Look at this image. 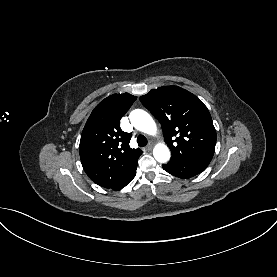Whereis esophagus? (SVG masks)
Wrapping results in <instances>:
<instances>
[{
	"label": "esophagus",
	"mask_w": 277,
	"mask_h": 277,
	"mask_svg": "<svg viewBox=\"0 0 277 277\" xmlns=\"http://www.w3.org/2000/svg\"><path fill=\"white\" fill-rule=\"evenodd\" d=\"M154 146V143L153 142H150L148 145H147V149L148 150H151Z\"/></svg>",
	"instance_id": "1"
}]
</instances>
